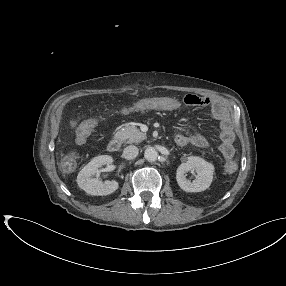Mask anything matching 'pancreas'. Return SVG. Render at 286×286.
I'll use <instances>...</instances> for the list:
<instances>
[{"label": "pancreas", "mask_w": 286, "mask_h": 286, "mask_svg": "<svg viewBox=\"0 0 286 286\" xmlns=\"http://www.w3.org/2000/svg\"><path fill=\"white\" fill-rule=\"evenodd\" d=\"M114 138L121 142L131 144L145 140L146 134L141 132L136 126L126 124L115 133Z\"/></svg>", "instance_id": "pancreas-1"}]
</instances>
